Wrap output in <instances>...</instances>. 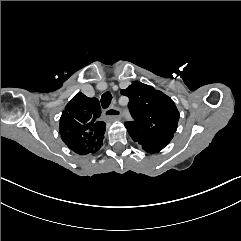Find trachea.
<instances>
[{
    "instance_id": "3493384b",
    "label": "trachea",
    "mask_w": 241,
    "mask_h": 241,
    "mask_svg": "<svg viewBox=\"0 0 241 241\" xmlns=\"http://www.w3.org/2000/svg\"><path fill=\"white\" fill-rule=\"evenodd\" d=\"M111 101H112V94L110 91H106L101 97L102 107L107 109V107H109Z\"/></svg>"
}]
</instances>
